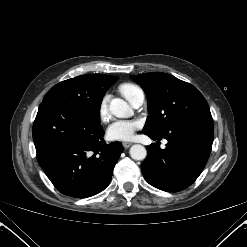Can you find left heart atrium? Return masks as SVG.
Listing matches in <instances>:
<instances>
[{"label": "left heart atrium", "instance_id": "1", "mask_svg": "<svg viewBox=\"0 0 247 247\" xmlns=\"http://www.w3.org/2000/svg\"><path fill=\"white\" fill-rule=\"evenodd\" d=\"M140 126L141 123L138 120L120 119L108 127L107 137L113 141H128L133 138Z\"/></svg>", "mask_w": 247, "mask_h": 247}]
</instances>
